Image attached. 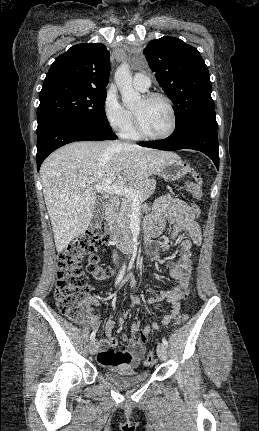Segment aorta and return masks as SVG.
<instances>
[{
    "instance_id": "762f6f07",
    "label": "aorta",
    "mask_w": 259,
    "mask_h": 431,
    "mask_svg": "<svg viewBox=\"0 0 259 431\" xmlns=\"http://www.w3.org/2000/svg\"><path fill=\"white\" fill-rule=\"evenodd\" d=\"M115 83L127 108H133L141 102V94L132 86V73L127 63L121 64L116 70Z\"/></svg>"
}]
</instances>
